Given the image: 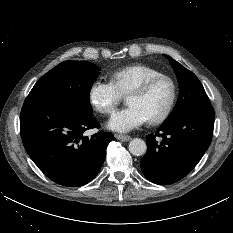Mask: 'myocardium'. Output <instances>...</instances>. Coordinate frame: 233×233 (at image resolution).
<instances>
[{
    "instance_id": "myocardium-1",
    "label": "myocardium",
    "mask_w": 233,
    "mask_h": 233,
    "mask_svg": "<svg viewBox=\"0 0 233 233\" xmlns=\"http://www.w3.org/2000/svg\"><path fill=\"white\" fill-rule=\"evenodd\" d=\"M160 81H167L170 84L171 96H170V100H169L166 108L164 109V111L160 115L148 120L149 124H152V125L160 124V123L164 122L170 116V114L175 106V103L177 100V94H178L177 84H176L175 80L169 75L160 74V75L153 76L151 78L146 79L145 81H143L142 83H140L139 85L134 87L128 93V96L132 95V94H145L154 85H156Z\"/></svg>"
}]
</instances>
